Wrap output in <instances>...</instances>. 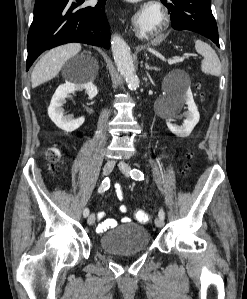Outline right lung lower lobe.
Wrapping results in <instances>:
<instances>
[{"instance_id":"obj_1","label":"right lung lower lobe","mask_w":247,"mask_h":299,"mask_svg":"<svg viewBox=\"0 0 247 299\" xmlns=\"http://www.w3.org/2000/svg\"><path fill=\"white\" fill-rule=\"evenodd\" d=\"M84 1H36L27 37V70L43 51L61 44L80 42L110 48L106 0H98L94 6L82 5Z\"/></svg>"}]
</instances>
